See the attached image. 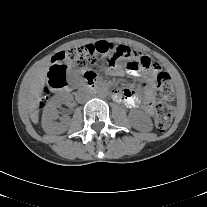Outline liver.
<instances>
[{
	"instance_id": "6515ba94",
	"label": "liver",
	"mask_w": 207,
	"mask_h": 207,
	"mask_svg": "<svg viewBox=\"0 0 207 207\" xmlns=\"http://www.w3.org/2000/svg\"><path fill=\"white\" fill-rule=\"evenodd\" d=\"M50 66V61H45L40 66L34 68L24 79L21 96L26 103L30 118L34 124L39 121V103L46 83V76Z\"/></svg>"
}]
</instances>
